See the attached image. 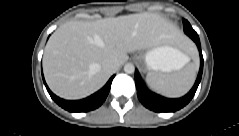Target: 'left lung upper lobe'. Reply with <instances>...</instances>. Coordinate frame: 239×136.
<instances>
[{"mask_svg":"<svg viewBox=\"0 0 239 136\" xmlns=\"http://www.w3.org/2000/svg\"><path fill=\"white\" fill-rule=\"evenodd\" d=\"M183 24H184V32H186V30H193V28L191 27L190 23L187 20H183Z\"/></svg>","mask_w":239,"mask_h":136,"instance_id":"left-lung-upper-lobe-1","label":"left lung upper lobe"}]
</instances>
